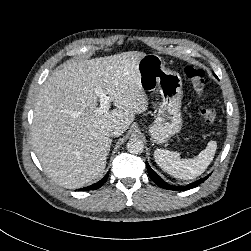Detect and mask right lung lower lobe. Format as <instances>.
Wrapping results in <instances>:
<instances>
[{"label":"right lung lower lobe","instance_id":"1","mask_svg":"<svg viewBox=\"0 0 251 251\" xmlns=\"http://www.w3.org/2000/svg\"><path fill=\"white\" fill-rule=\"evenodd\" d=\"M109 173H107L100 181H98L97 183L84 187L81 190L82 191H89V190H96L98 188H100L108 179Z\"/></svg>","mask_w":251,"mask_h":251}]
</instances>
